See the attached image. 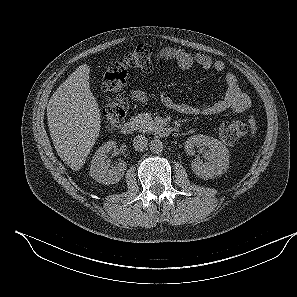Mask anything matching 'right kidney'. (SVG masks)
<instances>
[{
    "label": "right kidney",
    "instance_id": "ca27d5eb",
    "mask_svg": "<svg viewBox=\"0 0 297 297\" xmlns=\"http://www.w3.org/2000/svg\"><path fill=\"white\" fill-rule=\"evenodd\" d=\"M115 141L104 143L93 156L90 166V175L99 183L115 184L120 181L126 170V163L119 161L116 166H111L108 160L109 152L115 148Z\"/></svg>",
    "mask_w": 297,
    "mask_h": 297
}]
</instances>
